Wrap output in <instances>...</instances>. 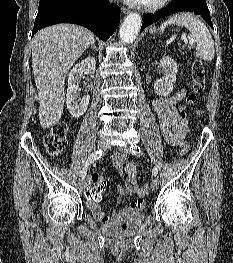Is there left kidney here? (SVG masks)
Masks as SVG:
<instances>
[{
  "mask_svg": "<svg viewBox=\"0 0 233 263\" xmlns=\"http://www.w3.org/2000/svg\"><path fill=\"white\" fill-rule=\"evenodd\" d=\"M160 63L164 77L155 81L154 90L158 95L165 97L173 91L178 68L177 63L169 56L163 57Z\"/></svg>",
  "mask_w": 233,
  "mask_h": 263,
  "instance_id": "left-kidney-1",
  "label": "left kidney"
}]
</instances>
